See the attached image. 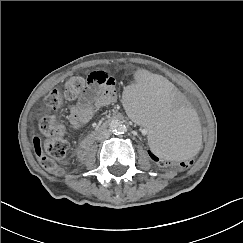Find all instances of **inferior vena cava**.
<instances>
[{
  "label": "inferior vena cava",
  "instance_id": "inferior-vena-cava-1",
  "mask_svg": "<svg viewBox=\"0 0 243 243\" xmlns=\"http://www.w3.org/2000/svg\"><path fill=\"white\" fill-rule=\"evenodd\" d=\"M110 136L109 130H104L97 135V140H104Z\"/></svg>",
  "mask_w": 243,
  "mask_h": 243
}]
</instances>
